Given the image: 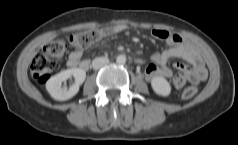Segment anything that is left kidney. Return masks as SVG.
Wrapping results in <instances>:
<instances>
[{
    "label": "left kidney",
    "instance_id": "1",
    "mask_svg": "<svg viewBox=\"0 0 238 145\" xmlns=\"http://www.w3.org/2000/svg\"><path fill=\"white\" fill-rule=\"evenodd\" d=\"M151 86L154 92L161 96H168L171 92L169 82L164 78L157 76L151 80Z\"/></svg>",
    "mask_w": 238,
    "mask_h": 145
}]
</instances>
